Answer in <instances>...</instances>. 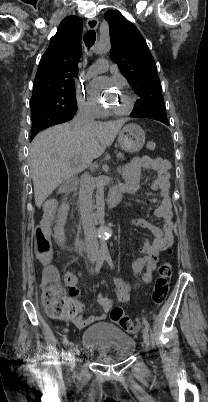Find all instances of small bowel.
<instances>
[{"instance_id":"small-bowel-1","label":"small bowel","mask_w":208,"mask_h":402,"mask_svg":"<svg viewBox=\"0 0 208 402\" xmlns=\"http://www.w3.org/2000/svg\"><path fill=\"white\" fill-rule=\"evenodd\" d=\"M169 168L170 163L166 159L161 157L143 156L134 158L123 169V177L125 180L124 188L127 192H136L142 187V169L153 170L155 172V177L151 183V189L154 191L159 190L161 196V203L155 210V216L162 220L161 228L153 226L150 222L144 219L130 220V225L147 229L155 236L153 241L147 240L145 242L144 247L140 250L143 256L133 264V270L136 273L141 274L143 283L151 282L152 272L155 269L159 252L171 246L173 243V212L170 199ZM64 276L66 277L65 280L71 281V295H76L77 277L68 269L64 271ZM110 282L115 290L117 300L121 303L127 302L129 300L131 286L119 279H113L110 280ZM74 303L77 312L84 309V305L80 301L74 299ZM98 303L102 307L103 313L96 317L95 321L104 319L113 305L112 300L106 296H98ZM93 320V316H78L75 319L73 315H56L54 318L56 324H65L67 330H72L74 327L77 330H86L89 327V323ZM74 321L76 322L75 324Z\"/></svg>"}]
</instances>
